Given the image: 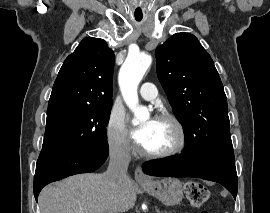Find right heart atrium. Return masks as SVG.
Returning <instances> with one entry per match:
<instances>
[{"label": "right heart atrium", "instance_id": "right-heart-atrium-1", "mask_svg": "<svg viewBox=\"0 0 270 213\" xmlns=\"http://www.w3.org/2000/svg\"><path fill=\"white\" fill-rule=\"evenodd\" d=\"M106 138L110 152L118 157L129 158L133 147L128 139V130L125 124V115L113 110L106 126Z\"/></svg>", "mask_w": 270, "mask_h": 213}]
</instances>
